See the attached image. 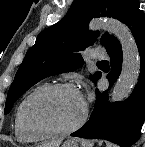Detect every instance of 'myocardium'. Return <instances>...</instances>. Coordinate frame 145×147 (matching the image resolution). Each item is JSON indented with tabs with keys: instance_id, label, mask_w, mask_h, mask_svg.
I'll use <instances>...</instances> for the list:
<instances>
[{
	"instance_id": "f54148a6",
	"label": "myocardium",
	"mask_w": 145,
	"mask_h": 147,
	"mask_svg": "<svg viewBox=\"0 0 145 147\" xmlns=\"http://www.w3.org/2000/svg\"><path fill=\"white\" fill-rule=\"evenodd\" d=\"M61 90L78 91L77 88L71 83H54V84L45 85L35 90L26 98L22 107L21 118L28 130L34 132H40L45 134L46 136H65L75 132L76 130H78L80 127L83 126V124L86 122L88 117V106L85 101H84L83 113L80 119L75 124L67 128L54 127L49 123H47L45 120L35 117L32 114L31 112L32 104L36 99Z\"/></svg>"
}]
</instances>
